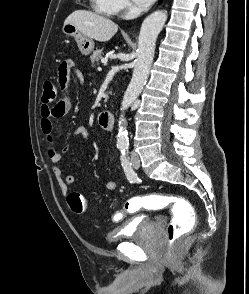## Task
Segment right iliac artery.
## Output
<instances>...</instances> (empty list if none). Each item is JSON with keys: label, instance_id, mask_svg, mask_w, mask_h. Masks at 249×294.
<instances>
[{"label": "right iliac artery", "instance_id": "82829eb1", "mask_svg": "<svg viewBox=\"0 0 249 294\" xmlns=\"http://www.w3.org/2000/svg\"><path fill=\"white\" fill-rule=\"evenodd\" d=\"M119 148L122 150V149L127 148V147L126 146H120Z\"/></svg>", "mask_w": 249, "mask_h": 294}]
</instances>
